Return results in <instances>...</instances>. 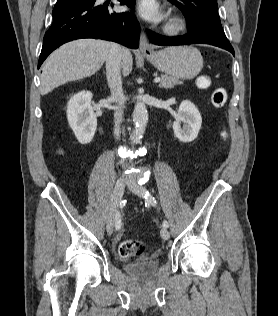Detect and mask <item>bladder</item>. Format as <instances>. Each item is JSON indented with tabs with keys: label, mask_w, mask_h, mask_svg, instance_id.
I'll use <instances>...</instances> for the list:
<instances>
[{
	"label": "bladder",
	"mask_w": 278,
	"mask_h": 316,
	"mask_svg": "<svg viewBox=\"0 0 278 316\" xmlns=\"http://www.w3.org/2000/svg\"><path fill=\"white\" fill-rule=\"evenodd\" d=\"M157 260H147L142 263H130L125 266V269L130 273H138L145 276L154 275L158 268Z\"/></svg>",
	"instance_id": "31cf9c89"
}]
</instances>
